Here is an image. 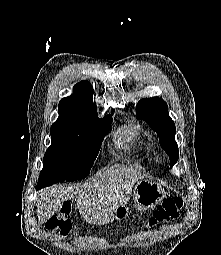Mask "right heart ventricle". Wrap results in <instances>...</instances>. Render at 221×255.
<instances>
[{
	"label": "right heart ventricle",
	"instance_id": "e07e8e85",
	"mask_svg": "<svg viewBox=\"0 0 221 255\" xmlns=\"http://www.w3.org/2000/svg\"><path fill=\"white\" fill-rule=\"evenodd\" d=\"M142 132L139 125L128 124L116 137L119 145L132 146L141 141Z\"/></svg>",
	"mask_w": 221,
	"mask_h": 255
}]
</instances>
